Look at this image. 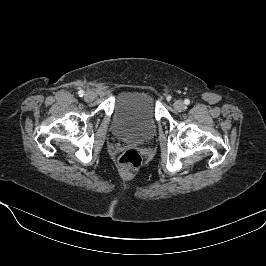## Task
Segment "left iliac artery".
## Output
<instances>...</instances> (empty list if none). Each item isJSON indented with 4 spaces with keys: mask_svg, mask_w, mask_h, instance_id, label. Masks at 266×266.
Returning <instances> with one entry per match:
<instances>
[{
    "mask_svg": "<svg viewBox=\"0 0 266 266\" xmlns=\"http://www.w3.org/2000/svg\"><path fill=\"white\" fill-rule=\"evenodd\" d=\"M184 103H185L186 105H189V104H190V100H189V99H185V100H184Z\"/></svg>",
    "mask_w": 266,
    "mask_h": 266,
    "instance_id": "44dca946",
    "label": "left iliac artery"
}]
</instances>
